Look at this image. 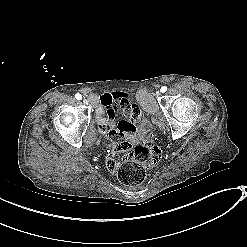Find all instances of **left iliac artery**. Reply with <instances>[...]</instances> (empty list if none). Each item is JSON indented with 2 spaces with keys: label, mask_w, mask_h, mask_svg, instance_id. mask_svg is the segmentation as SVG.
Segmentation results:
<instances>
[{
  "label": "left iliac artery",
  "mask_w": 247,
  "mask_h": 247,
  "mask_svg": "<svg viewBox=\"0 0 247 247\" xmlns=\"http://www.w3.org/2000/svg\"><path fill=\"white\" fill-rule=\"evenodd\" d=\"M160 91H161L162 93L166 92V91H167V87H166V86L161 87Z\"/></svg>",
  "instance_id": "1"
}]
</instances>
